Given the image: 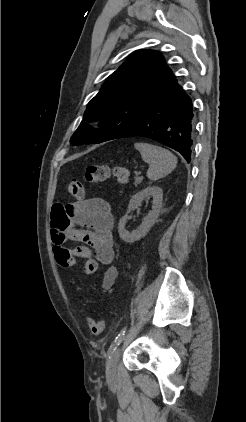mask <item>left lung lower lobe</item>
<instances>
[{"label":"left lung lower lobe","instance_id":"1","mask_svg":"<svg viewBox=\"0 0 246 422\" xmlns=\"http://www.w3.org/2000/svg\"><path fill=\"white\" fill-rule=\"evenodd\" d=\"M141 136L156 140L191 160L194 114L191 98L176 79L147 112L118 138Z\"/></svg>","mask_w":246,"mask_h":422}]
</instances>
